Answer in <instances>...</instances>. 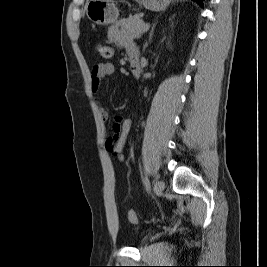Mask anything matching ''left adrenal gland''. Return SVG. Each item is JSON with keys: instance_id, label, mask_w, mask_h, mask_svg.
Returning a JSON list of instances; mask_svg holds the SVG:
<instances>
[{"instance_id": "1", "label": "left adrenal gland", "mask_w": 267, "mask_h": 267, "mask_svg": "<svg viewBox=\"0 0 267 267\" xmlns=\"http://www.w3.org/2000/svg\"><path fill=\"white\" fill-rule=\"evenodd\" d=\"M155 26H156V24L153 25V27L151 28V31H150V33H149V41H151V39H152V36H153V33H154Z\"/></svg>"}]
</instances>
